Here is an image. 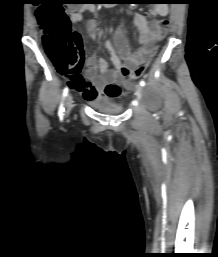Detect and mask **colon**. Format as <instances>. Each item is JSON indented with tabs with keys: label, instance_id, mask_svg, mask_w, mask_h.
Masks as SVG:
<instances>
[{
	"label": "colon",
	"instance_id": "1",
	"mask_svg": "<svg viewBox=\"0 0 218 257\" xmlns=\"http://www.w3.org/2000/svg\"><path fill=\"white\" fill-rule=\"evenodd\" d=\"M63 10H74V5H41L36 16L44 49L56 69L67 78H78L83 65L82 37L71 30ZM145 70L146 64H142L131 71L126 86L131 88ZM103 88L104 98H121V94H125V89L118 83H103Z\"/></svg>",
	"mask_w": 218,
	"mask_h": 257
}]
</instances>
